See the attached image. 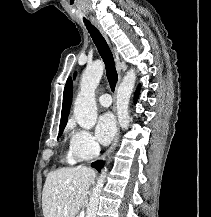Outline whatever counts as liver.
<instances>
[{
	"instance_id": "obj_1",
	"label": "liver",
	"mask_w": 211,
	"mask_h": 217,
	"mask_svg": "<svg viewBox=\"0 0 211 217\" xmlns=\"http://www.w3.org/2000/svg\"><path fill=\"white\" fill-rule=\"evenodd\" d=\"M95 177V171L85 166L50 172L42 193L44 217H75Z\"/></svg>"
}]
</instances>
